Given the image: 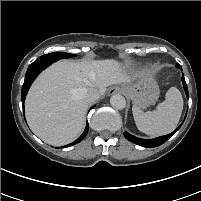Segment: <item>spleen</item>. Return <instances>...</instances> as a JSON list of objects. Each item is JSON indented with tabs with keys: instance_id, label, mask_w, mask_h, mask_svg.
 <instances>
[{
	"instance_id": "spleen-1",
	"label": "spleen",
	"mask_w": 201,
	"mask_h": 201,
	"mask_svg": "<svg viewBox=\"0 0 201 201\" xmlns=\"http://www.w3.org/2000/svg\"><path fill=\"white\" fill-rule=\"evenodd\" d=\"M183 110V98L180 91L171 87L165 101L156 110L143 112L133 105L132 112L137 128L148 135H165L177 126Z\"/></svg>"
}]
</instances>
